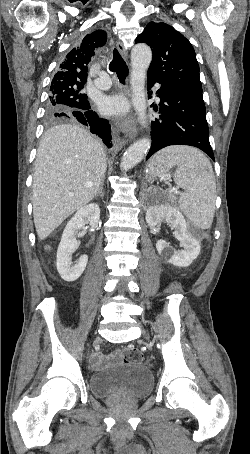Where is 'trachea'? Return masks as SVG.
Listing matches in <instances>:
<instances>
[{
    "instance_id": "obj_1",
    "label": "trachea",
    "mask_w": 250,
    "mask_h": 454,
    "mask_svg": "<svg viewBox=\"0 0 250 454\" xmlns=\"http://www.w3.org/2000/svg\"><path fill=\"white\" fill-rule=\"evenodd\" d=\"M109 70L117 74L119 80L125 83L126 76L128 75V68L117 49L113 51V59L109 64Z\"/></svg>"
}]
</instances>
